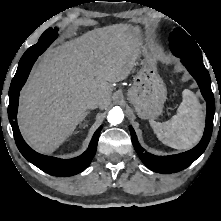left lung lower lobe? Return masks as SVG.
Returning a JSON list of instances; mask_svg holds the SVG:
<instances>
[{
	"label": "left lung lower lobe",
	"mask_w": 221,
	"mask_h": 221,
	"mask_svg": "<svg viewBox=\"0 0 221 221\" xmlns=\"http://www.w3.org/2000/svg\"><path fill=\"white\" fill-rule=\"evenodd\" d=\"M181 58L182 63L188 69L190 74L197 81L201 93L207 103L206 127L203 138L200 143L193 149L170 156H155L145 152L139 145L136 134L132 126L129 127L133 146L140 156L142 162L151 170L159 173H174L187 168L191 165L206 149L213 128V118L215 113L214 96L211 91V79L209 73L202 63L194 62L192 60Z\"/></svg>",
	"instance_id": "obj_1"
}]
</instances>
